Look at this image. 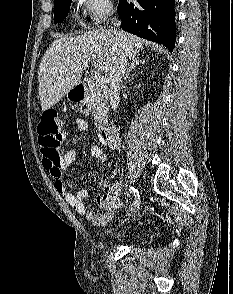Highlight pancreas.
Returning a JSON list of instances; mask_svg holds the SVG:
<instances>
[{
	"mask_svg": "<svg viewBox=\"0 0 233 294\" xmlns=\"http://www.w3.org/2000/svg\"><path fill=\"white\" fill-rule=\"evenodd\" d=\"M105 97V94L100 89L96 88H91L85 97V103L92 111L95 125L98 129H103L108 120V109Z\"/></svg>",
	"mask_w": 233,
	"mask_h": 294,
	"instance_id": "1",
	"label": "pancreas"
}]
</instances>
